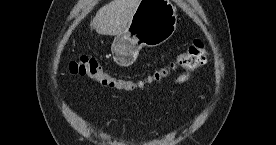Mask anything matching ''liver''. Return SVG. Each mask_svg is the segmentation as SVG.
Returning a JSON list of instances; mask_svg holds the SVG:
<instances>
[{
  "instance_id": "6515ba94",
  "label": "liver",
  "mask_w": 276,
  "mask_h": 145,
  "mask_svg": "<svg viewBox=\"0 0 276 145\" xmlns=\"http://www.w3.org/2000/svg\"><path fill=\"white\" fill-rule=\"evenodd\" d=\"M140 0H112L101 7L91 22V28L101 35H119L128 27Z\"/></svg>"
}]
</instances>
